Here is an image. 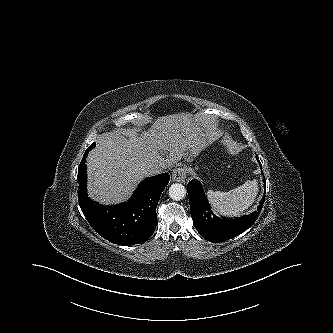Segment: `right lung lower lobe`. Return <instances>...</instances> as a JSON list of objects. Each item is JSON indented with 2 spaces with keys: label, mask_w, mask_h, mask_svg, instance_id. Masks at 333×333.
Instances as JSON below:
<instances>
[{
  "label": "right lung lower lobe",
  "mask_w": 333,
  "mask_h": 333,
  "mask_svg": "<svg viewBox=\"0 0 333 333\" xmlns=\"http://www.w3.org/2000/svg\"><path fill=\"white\" fill-rule=\"evenodd\" d=\"M78 168V201L91 227L102 237L123 246L146 242L157 225L156 207L170 175L163 173L145 179L132 197L115 206H103L91 201L86 191L85 158Z\"/></svg>",
  "instance_id": "1"
}]
</instances>
